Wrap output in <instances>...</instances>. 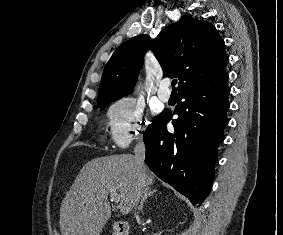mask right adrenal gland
<instances>
[{
  "instance_id": "obj_1",
  "label": "right adrenal gland",
  "mask_w": 283,
  "mask_h": 235,
  "mask_svg": "<svg viewBox=\"0 0 283 235\" xmlns=\"http://www.w3.org/2000/svg\"><path fill=\"white\" fill-rule=\"evenodd\" d=\"M156 192H157V189H151V188L145 189L144 195L142 196V200H141V203L138 209L142 210L143 204L147 200V198L152 196Z\"/></svg>"
}]
</instances>
